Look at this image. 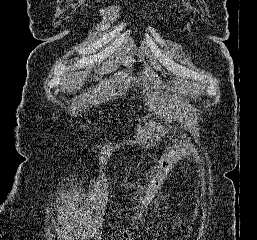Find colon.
<instances>
[{
  "instance_id": "1",
  "label": "colon",
  "mask_w": 257,
  "mask_h": 240,
  "mask_svg": "<svg viewBox=\"0 0 257 240\" xmlns=\"http://www.w3.org/2000/svg\"><path fill=\"white\" fill-rule=\"evenodd\" d=\"M184 135L189 136L190 132L185 130ZM174 155L175 143H171L162 154L158 170L150 181L144 196L136 206L127 225L120 230L119 236L116 240H131L132 230L140 224L151 206L156 202L160 191L172 170Z\"/></svg>"
}]
</instances>
